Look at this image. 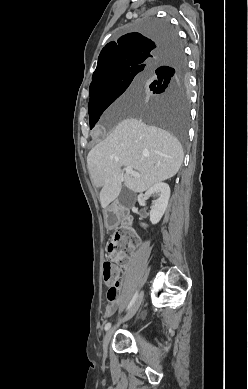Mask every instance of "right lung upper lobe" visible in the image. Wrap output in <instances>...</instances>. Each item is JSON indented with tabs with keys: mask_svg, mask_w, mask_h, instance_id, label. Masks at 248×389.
I'll return each instance as SVG.
<instances>
[{
	"mask_svg": "<svg viewBox=\"0 0 248 389\" xmlns=\"http://www.w3.org/2000/svg\"><path fill=\"white\" fill-rule=\"evenodd\" d=\"M173 38L153 39L140 33H129L108 43L101 51L97 68L93 73V86L106 74L134 67L148 69L155 65L159 58L175 47Z\"/></svg>",
	"mask_w": 248,
	"mask_h": 389,
	"instance_id": "1",
	"label": "right lung upper lobe"
}]
</instances>
